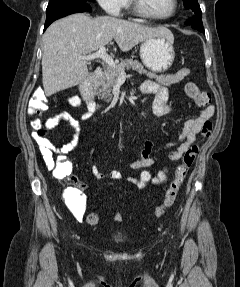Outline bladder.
<instances>
[{"label": "bladder", "instance_id": "bladder-1", "mask_svg": "<svg viewBox=\"0 0 240 287\" xmlns=\"http://www.w3.org/2000/svg\"><path fill=\"white\" fill-rule=\"evenodd\" d=\"M114 238H115L116 240H121V239H122V236H121V235L116 234V235L114 236Z\"/></svg>", "mask_w": 240, "mask_h": 287}]
</instances>
